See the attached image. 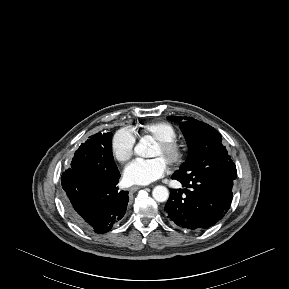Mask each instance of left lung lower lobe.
I'll use <instances>...</instances> for the list:
<instances>
[{
    "label": "left lung lower lobe",
    "instance_id": "0a47b994",
    "mask_svg": "<svg viewBox=\"0 0 289 289\" xmlns=\"http://www.w3.org/2000/svg\"><path fill=\"white\" fill-rule=\"evenodd\" d=\"M172 179L190 188L171 190L165 211L172 224L189 230L207 229L228 211L233 198L232 187L208 178L186 181L173 174Z\"/></svg>",
    "mask_w": 289,
    "mask_h": 289
}]
</instances>
